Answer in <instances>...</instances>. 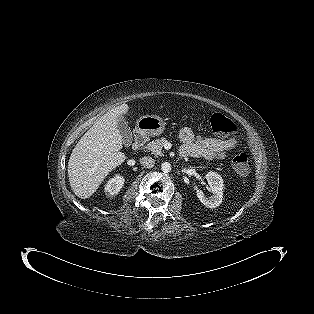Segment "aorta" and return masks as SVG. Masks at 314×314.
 Instances as JSON below:
<instances>
[{
	"label": "aorta",
	"mask_w": 314,
	"mask_h": 314,
	"mask_svg": "<svg viewBox=\"0 0 314 314\" xmlns=\"http://www.w3.org/2000/svg\"><path fill=\"white\" fill-rule=\"evenodd\" d=\"M161 170L164 172V173H168L171 171V164L169 162H163L161 164Z\"/></svg>",
	"instance_id": "aorta-1"
}]
</instances>
